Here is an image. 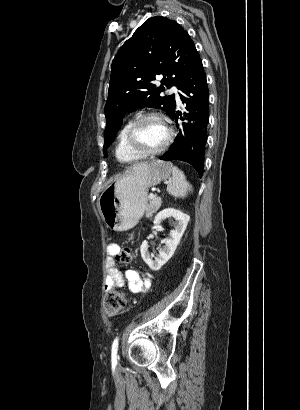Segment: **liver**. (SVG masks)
<instances>
[{
	"label": "liver",
	"mask_w": 300,
	"mask_h": 410,
	"mask_svg": "<svg viewBox=\"0 0 300 410\" xmlns=\"http://www.w3.org/2000/svg\"><path fill=\"white\" fill-rule=\"evenodd\" d=\"M144 164H146V163H141V164L134 165L133 168L140 167V166H142V165H144Z\"/></svg>",
	"instance_id": "obj_1"
}]
</instances>
